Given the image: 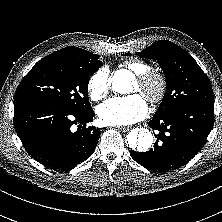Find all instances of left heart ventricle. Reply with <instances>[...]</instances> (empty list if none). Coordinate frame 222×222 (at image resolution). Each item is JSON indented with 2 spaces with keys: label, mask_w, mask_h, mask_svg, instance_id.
Segmentation results:
<instances>
[{
  "label": "left heart ventricle",
  "mask_w": 222,
  "mask_h": 222,
  "mask_svg": "<svg viewBox=\"0 0 222 222\" xmlns=\"http://www.w3.org/2000/svg\"><path fill=\"white\" fill-rule=\"evenodd\" d=\"M138 92H140V93L143 94V91H142V89H141V86L138 84L137 81H135V83H134L133 86H132L131 93H138Z\"/></svg>",
  "instance_id": "b2bd125f"
}]
</instances>
